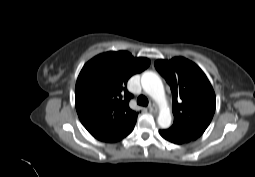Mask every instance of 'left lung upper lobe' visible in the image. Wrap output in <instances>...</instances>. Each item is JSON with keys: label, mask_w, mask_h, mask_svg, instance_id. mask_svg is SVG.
Wrapping results in <instances>:
<instances>
[{"label": "left lung upper lobe", "mask_w": 255, "mask_h": 177, "mask_svg": "<svg viewBox=\"0 0 255 177\" xmlns=\"http://www.w3.org/2000/svg\"><path fill=\"white\" fill-rule=\"evenodd\" d=\"M155 67L173 94L174 123L167 131L186 142L196 140L215 112L216 97L208 78L195 63L183 57L157 60Z\"/></svg>", "instance_id": "obj_1"}]
</instances>
